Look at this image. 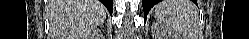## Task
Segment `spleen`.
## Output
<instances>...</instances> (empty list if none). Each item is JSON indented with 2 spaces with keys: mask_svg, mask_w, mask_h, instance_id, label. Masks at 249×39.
Here are the masks:
<instances>
[{
  "mask_svg": "<svg viewBox=\"0 0 249 39\" xmlns=\"http://www.w3.org/2000/svg\"><path fill=\"white\" fill-rule=\"evenodd\" d=\"M155 17L166 29L196 37L200 34L197 10L185 1L165 0L155 6Z\"/></svg>",
  "mask_w": 249,
  "mask_h": 39,
  "instance_id": "spleen-1",
  "label": "spleen"
}]
</instances>
